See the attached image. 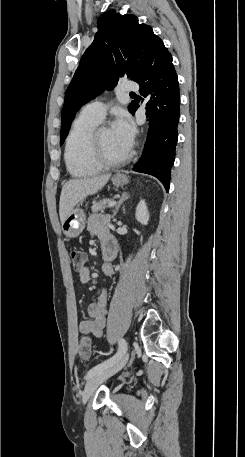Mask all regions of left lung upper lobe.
Segmentation results:
<instances>
[{
    "instance_id": "obj_1",
    "label": "left lung upper lobe",
    "mask_w": 245,
    "mask_h": 457,
    "mask_svg": "<svg viewBox=\"0 0 245 457\" xmlns=\"http://www.w3.org/2000/svg\"><path fill=\"white\" fill-rule=\"evenodd\" d=\"M161 44L151 26L139 24L135 15H122L115 10L103 13L94 41L82 56L65 93L60 145L80 107L104 89H113L120 77L136 81L150 54Z\"/></svg>"
}]
</instances>
